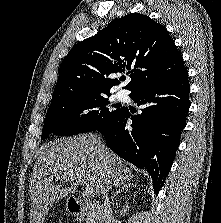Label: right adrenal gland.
I'll list each match as a JSON object with an SVG mask.
<instances>
[{"mask_svg": "<svg viewBox=\"0 0 221 223\" xmlns=\"http://www.w3.org/2000/svg\"><path fill=\"white\" fill-rule=\"evenodd\" d=\"M134 186L133 184H131L130 182L128 184H123V186H121L118 190H116V192L113 193L112 197H111V203L114 206V197L121 193L122 191L126 190L127 188Z\"/></svg>", "mask_w": 221, "mask_h": 223, "instance_id": "obj_1", "label": "right adrenal gland"}]
</instances>
